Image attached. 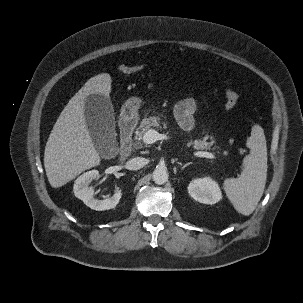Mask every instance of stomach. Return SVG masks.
Returning a JSON list of instances; mask_svg holds the SVG:
<instances>
[{"mask_svg": "<svg viewBox=\"0 0 303 303\" xmlns=\"http://www.w3.org/2000/svg\"><path fill=\"white\" fill-rule=\"evenodd\" d=\"M142 100L138 97H132L128 99L122 108V116L126 119L134 118L137 116L138 109Z\"/></svg>", "mask_w": 303, "mask_h": 303, "instance_id": "1", "label": "stomach"}]
</instances>
